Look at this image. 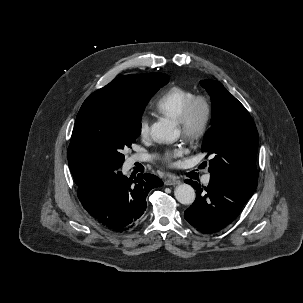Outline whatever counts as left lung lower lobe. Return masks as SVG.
<instances>
[{
  "label": "left lung lower lobe",
  "mask_w": 303,
  "mask_h": 303,
  "mask_svg": "<svg viewBox=\"0 0 303 303\" xmlns=\"http://www.w3.org/2000/svg\"><path fill=\"white\" fill-rule=\"evenodd\" d=\"M196 190L195 202L185 211L184 218L198 231L211 234L229 225L252 196L232 182L210 175L204 190L192 180L185 181Z\"/></svg>",
  "instance_id": "1"
}]
</instances>
